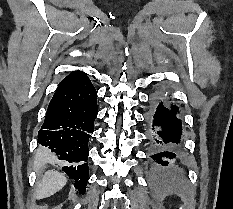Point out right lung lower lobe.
<instances>
[{
	"label": "right lung lower lobe",
	"instance_id": "right-lung-lower-lobe-1",
	"mask_svg": "<svg viewBox=\"0 0 233 209\" xmlns=\"http://www.w3.org/2000/svg\"><path fill=\"white\" fill-rule=\"evenodd\" d=\"M98 113L97 94L86 73L74 71L59 84L39 130V143L64 160L63 171L84 194L89 169L88 140Z\"/></svg>",
	"mask_w": 233,
	"mask_h": 209
}]
</instances>
